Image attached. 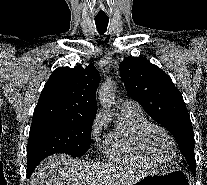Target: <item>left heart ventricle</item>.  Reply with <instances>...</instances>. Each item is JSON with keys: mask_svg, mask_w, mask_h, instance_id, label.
Returning a JSON list of instances; mask_svg holds the SVG:
<instances>
[{"mask_svg": "<svg viewBox=\"0 0 207 185\" xmlns=\"http://www.w3.org/2000/svg\"><path fill=\"white\" fill-rule=\"evenodd\" d=\"M153 151L163 160H169L174 152L170 139L158 130H154L149 138Z\"/></svg>", "mask_w": 207, "mask_h": 185, "instance_id": "b2bd125f", "label": "left heart ventricle"}]
</instances>
